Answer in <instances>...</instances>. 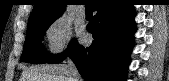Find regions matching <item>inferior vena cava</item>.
<instances>
[{
  "label": "inferior vena cava",
  "instance_id": "602c4592",
  "mask_svg": "<svg viewBox=\"0 0 169 81\" xmlns=\"http://www.w3.org/2000/svg\"><path fill=\"white\" fill-rule=\"evenodd\" d=\"M67 72H68L70 81H80L81 80L80 74H79L75 64L73 63V61L70 58L67 59Z\"/></svg>",
  "mask_w": 169,
  "mask_h": 81
}]
</instances>
